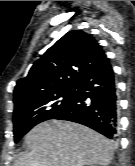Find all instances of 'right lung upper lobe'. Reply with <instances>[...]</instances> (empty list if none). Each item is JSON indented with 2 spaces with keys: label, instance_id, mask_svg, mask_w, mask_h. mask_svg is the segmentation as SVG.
<instances>
[{
  "label": "right lung upper lobe",
  "instance_id": "cb5924a9",
  "mask_svg": "<svg viewBox=\"0 0 135 166\" xmlns=\"http://www.w3.org/2000/svg\"><path fill=\"white\" fill-rule=\"evenodd\" d=\"M108 59L92 35L82 30L66 33L17 81L15 108L75 87L86 74Z\"/></svg>",
  "mask_w": 135,
  "mask_h": 166
}]
</instances>
